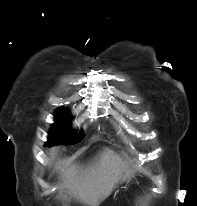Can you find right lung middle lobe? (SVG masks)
Segmentation results:
<instances>
[{"label": "right lung middle lobe", "mask_w": 197, "mask_h": 206, "mask_svg": "<svg viewBox=\"0 0 197 206\" xmlns=\"http://www.w3.org/2000/svg\"><path fill=\"white\" fill-rule=\"evenodd\" d=\"M55 118V123L49 133V140L46 143L48 146L59 143L76 144L84 137V134L77 135L69 131L68 127L71 116L66 110L59 109L56 112Z\"/></svg>", "instance_id": "dd1d6c3e"}]
</instances>
